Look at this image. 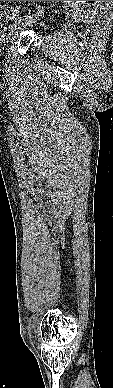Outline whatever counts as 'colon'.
I'll use <instances>...</instances> for the list:
<instances>
[{"label":"colon","mask_w":113,"mask_h":388,"mask_svg":"<svg viewBox=\"0 0 113 388\" xmlns=\"http://www.w3.org/2000/svg\"><path fill=\"white\" fill-rule=\"evenodd\" d=\"M15 9L9 6H1L0 8V16H4L6 18H13L15 15Z\"/></svg>","instance_id":"colon-1"}]
</instances>
